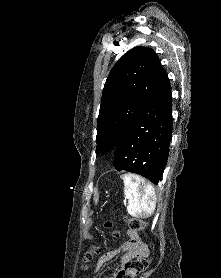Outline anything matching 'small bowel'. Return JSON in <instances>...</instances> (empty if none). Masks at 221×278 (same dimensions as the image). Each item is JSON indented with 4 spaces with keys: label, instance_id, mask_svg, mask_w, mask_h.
I'll use <instances>...</instances> for the list:
<instances>
[{
    "label": "small bowel",
    "instance_id": "1",
    "mask_svg": "<svg viewBox=\"0 0 221 278\" xmlns=\"http://www.w3.org/2000/svg\"><path fill=\"white\" fill-rule=\"evenodd\" d=\"M131 240L124 242L118 249L104 253L96 262L94 271L97 272L105 264L111 262L115 256L122 253L121 265H125L128 261L134 257L139 256L143 249L146 247L139 241L138 235L131 231L129 232ZM107 278H117V274H112Z\"/></svg>",
    "mask_w": 221,
    "mask_h": 278
}]
</instances>
